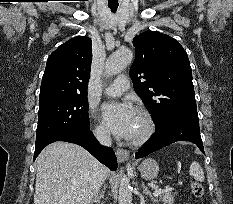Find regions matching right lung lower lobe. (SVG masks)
Returning a JSON list of instances; mask_svg holds the SVG:
<instances>
[{
  "instance_id": "right-lung-lower-lobe-1",
  "label": "right lung lower lobe",
  "mask_w": 233,
  "mask_h": 204,
  "mask_svg": "<svg viewBox=\"0 0 233 204\" xmlns=\"http://www.w3.org/2000/svg\"><path fill=\"white\" fill-rule=\"evenodd\" d=\"M55 141L78 144L90 152L98 161L106 165L110 170L115 171L117 169V159L113 149L99 145L89 129L65 132L54 138L36 144L34 160L44 147Z\"/></svg>"
}]
</instances>
